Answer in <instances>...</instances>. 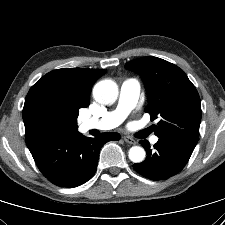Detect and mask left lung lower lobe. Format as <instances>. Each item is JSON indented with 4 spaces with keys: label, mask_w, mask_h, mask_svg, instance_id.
<instances>
[{
    "label": "left lung lower lobe",
    "mask_w": 225,
    "mask_h": 225,
    "mask_svg": "<svg viewBox=\"0 0 225 225\" xmlns=\"http://www.w3.org/2000/svg\"><path fill=\"white\" fill-rule=\"evenodd\" d=\"M139 143L145 148L147 157L143 162L134 164L133 168L151 180H165L179 173L195 148L170 138H159L154 145L155 151L150 149L148 141L141 140Z\"/></svg>",
    "instance_id": "obj_1"
}]
</instances>
